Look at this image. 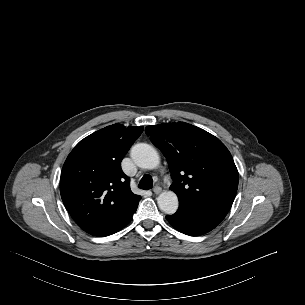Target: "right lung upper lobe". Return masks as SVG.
<instances>
[{"label": "right lung upper lobe", "mask_w": 305, "mask_h": 305, "mask_svg": "<svg viewBox=\"0 0 305 305\" xmlns=\"http://www.w3.org/2000/svg\"><path fill=\"white\" fill-rule=\"evenodd\" d=\"M143 127L113 124L81 140L68 155L60 178L63 203L87 233L105 231L137 209L120 162Z\"/></svg>", "instance_id": "obj_1"}]
</instances>
